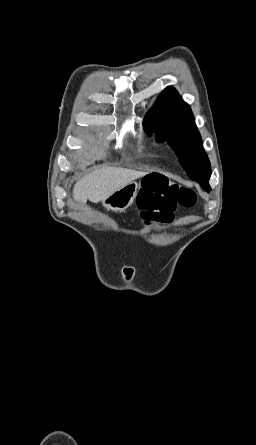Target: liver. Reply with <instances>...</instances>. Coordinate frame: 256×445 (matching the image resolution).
<instances>
[{"label":"liver","instance_id":"1","mask_svg":"<svg viewBox=\"0 0 256 445\" xmlns=\"http://www.w3.org/2000/svg\"><path fill=\"white\" fill-rule=\"evenodd\" d=\"M146 174L147 172L125 168L105 167L79 180L74 186L73 197L81 204H85L87 200L102 202L113 192Z\"/></svg>","mask_w":256,"mask_h":445}]
</instances>
